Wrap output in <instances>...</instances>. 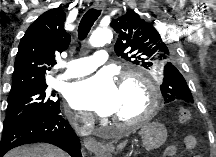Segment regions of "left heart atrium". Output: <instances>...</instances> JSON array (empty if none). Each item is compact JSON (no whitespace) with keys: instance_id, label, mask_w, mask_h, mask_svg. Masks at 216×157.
I'll use <instances>...</instances> for the list:
<instances>
[{"instance_id":"1","label":"left heart atrium","mask_w":216,"mask_h":157,"mask_svg":"<svg viewBox=\"0 0 216 157\" xmlns=\"http://www.w3.org/2000/svg\"><path fill=\"white\" fill-rule=\"evenodd\" d=\"M67 99L75 109L109 116L118 107L119 87L115 84L112 74L104 71L72 84Z\"/></svg>"}]
</instances>
